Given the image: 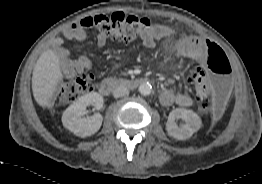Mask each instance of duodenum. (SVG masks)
I'll list each match as a JSON object with an SVG mask.
<instances>
[{
    "label": "duodenum",
    "instance_id": "410a0bca",
    "mask_svg": "<svg viewBox=\"0 0 262 184\" xmlns=\"http://www.w3.org/2000/svg\"><path fill=\"white\" fill-rule=\"evenodd\" d=\"M149 83L147 78H130V79H115L107 78L99 83L98 89L100 94L108 96L117 87L136 88L138 86Z\"/></svg>",
    "mask_w": 262,
    "mask_h": 184
}]
</instances>
